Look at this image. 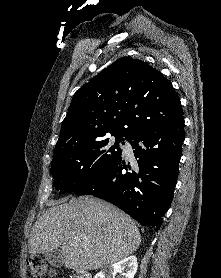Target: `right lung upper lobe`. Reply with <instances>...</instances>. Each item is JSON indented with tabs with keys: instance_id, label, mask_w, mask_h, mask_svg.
I'll list each match as a JSON object with an SVG mask.
<instances>
[{
	"instance_id": "obj_1",
	"label": "right lung upper lobe",
	"mask_w": 221,
	"mask_h": 278,
	"mask_svg": "<svg viewBox=\"0 0 221 278\" xmlns=\"http://www.w3.org/2000/svg\"><path fill=\"white\" fill-rule=\"evenodd\" d=\"M181 116L170 81L148 63L122 57L74 94L55 152L108 133L127 138Z\"/></svg>"
}]
</instances>
